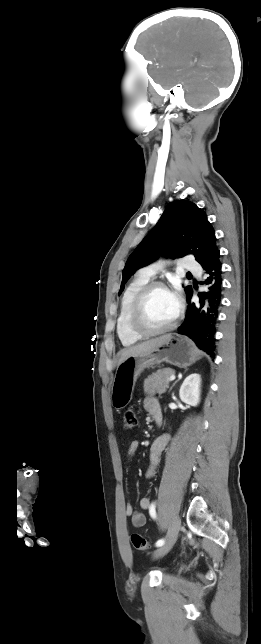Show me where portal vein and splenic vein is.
Returning a JSON list of instances; mask_svg holds the SVG:
<instances>
[{
  "label": "portal vein and splenic vein",
  "instance_id": "portal-vein-and-splenic-vein-1",
  "mask_svg": "<svg viewBox=\"0 0 261 644\" xmlns=\"http://www.w3.org/2000/svg\"><path fill=\"white\" fill-rule=\"evenodd\" d=\"M175 378H176L175 375H171L170 378H169V381H173V380H175Z\"/></svg>",
  "mask_w": 261,
  "mask_h": 644
}]
</instances>
